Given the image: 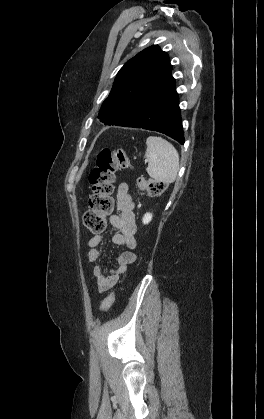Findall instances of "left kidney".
<instances>
[{"mask_svg": "<svg viewBox=\"0 0 264 419\" xmlns=\"http://www.w3.org/2000/svg\"><path fill=\"white\" fill-rule=\"evenodd\" d=\"M152 220V214L146 213L142 219L144 224H148Z\"/></svg>", "mask_w": 264, "mask_h": 419, "instance_id": "obj_1", "label": "left kidney"}]
</instances>
